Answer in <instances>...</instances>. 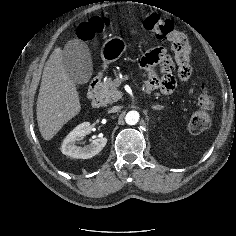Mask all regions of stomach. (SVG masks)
I'll use <instances>...</instances> for the list:
<instances>
[{"label":"stomach","instance_id":"obj_1","mask_svg":"<svg viewBox=\"0 0 236 236\" xmlns=\"http://www.w3.org/2000/svg\"><path fill=\"white\" fill-rule=\"evenodd\" d=\"M132 36H139L140 30L136 27L130 31ZM127 48L126 42L118 36H114L105 41L101 49V57L104 65H108L118 60Z\"/></svg>","mask_w":236,"mask_h":236}]
</instances>
